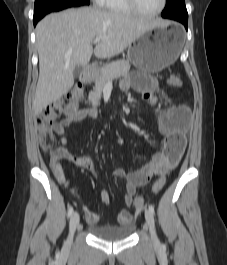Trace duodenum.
<instances>
[{"instance_id": "duodenum-1", "label": "duodenum", "mask_w": 227, "mask_h": 265, "mask_svg": "<svg viewBox=\"0 0 227 265\" xmlns=\"http://www.w3.org/2000/svg\"><path fill=\"white\" fill-rule=\"evenodd\" d=\"M94 71L95 67L93 65L86 66L81 75L82 82L86 84L90 83L93 80Z\"/></svg>"}]
</instances>
